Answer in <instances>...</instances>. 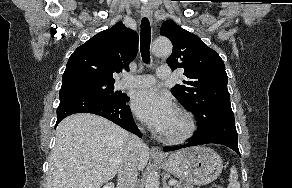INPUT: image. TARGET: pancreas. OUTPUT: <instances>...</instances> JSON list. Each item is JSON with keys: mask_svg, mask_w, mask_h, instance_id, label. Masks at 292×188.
<instances>
[{"mask_svg": "<svg viewBox=\"0 0 292 188\" xmlns=\"http://www.w3.org/2000/svg\"><path fill=\"white\" fill-rule=\"evenodd\" d=\"M173 188H193V185L188 182H179Z\"/></svg>", "mask_w": 292, "mask_h": 188, "instance_id": "cf45deb5", "label": "pancreas"}]
</instances>
